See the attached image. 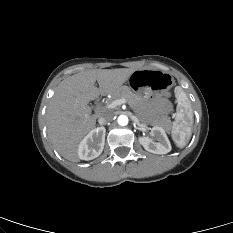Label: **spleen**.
<instances>
[{"label": "spleen", "mask_w": 233, "mask_h": 233, "mask_svg": "<svg viewBox=\"0 0 233 233\" xmlns=\"http://www.w3.org/2000/svg\"><path fill=\"white\" fill-rule=\"evenodd\" d=\"M177 98L176 118L172 126V138L179 148H184L191 138L193 111L190 100L181 87L175 88Z\"/></svg>", "instance_id": "3e777b00"}]
</instances>
